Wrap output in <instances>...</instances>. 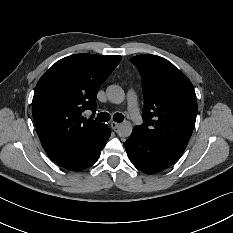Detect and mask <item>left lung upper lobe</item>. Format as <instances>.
I'll return each instance as SVG.
<instances>
[{
  "label": "left lung upper lobe",
  "instance_id": "5c2ea615",
  "mask_svg": "<svg viewBox=\"0 0 233 233\" xmlns=\"http://www.w3.org/2000/svg\"><path fill=\"white\" fill-rule=\"evenodd\" d=\"M142 78L143 124L134 128L147 139L184 151L198 111L190 80L168 60L150 54L132 57Z\"/></svg>",
  "mask_w": 233,
  "mask_h": 233
}]
</instances>
